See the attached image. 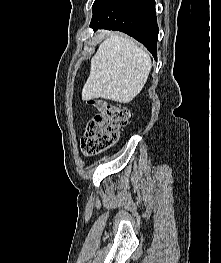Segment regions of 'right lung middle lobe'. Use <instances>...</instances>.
<instances>
[{"mask_svg":"<svg viewBox=\"0 0 221 263\" xmlns=\"http://www.w3.org/2000/svg\"><path fill=\"white\" fill-rule=\"evenodd\" d=\"M112 0H95L92 11L93 17L100 13Z\"/></svg>","mask_w":221,"mask_h":263,"instance_id":"right-lung-middle-lobe-1","label":"right lung middle lobe"}]
</instances>
